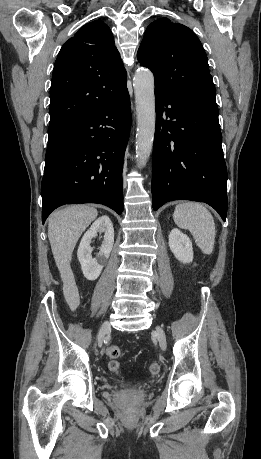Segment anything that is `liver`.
<instances>
[{
	"label": "liver",
	"mask_w": 261,
	"mask_h": 459,
	"mask_svg": "<svg viewBox=\"0 0 261 459\" xmlns=\"http://www.w3.org/2000/svg\"><path fill=\"white\" fill-rule=\"evenodd\" d=\"M97 215V209L92 206L73 205L54 212L49 218L48 238L64 288L73 284L70 262L75 245Z\"/></svg>",
	"instance_id": "6515ba94"
}]
</instances>
